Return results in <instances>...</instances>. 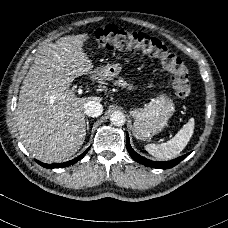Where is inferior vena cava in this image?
Instances as JSON below:
<instances>
[{"label": "inferior vena cava", "instance_id": "1", "mask_svg": "<svg viewBox=\"0 0 228 228\" xmlns=\"http://www.w3.org/2000/svg\"><path fill=\"white\" fill-rule=\"evenodd\" d=\"M103 112V106L100 102L95 100H89L84 104V113L90 117H98Z\"/></svg>", "mask_w": 228, "mask_h": 228}]
</instances>
